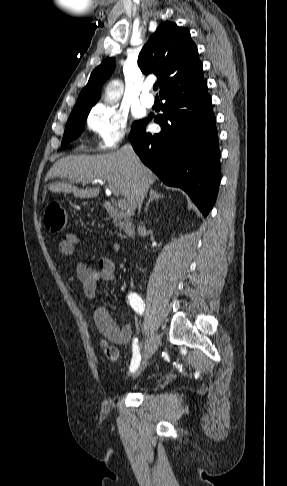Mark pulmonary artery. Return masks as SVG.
I'll return each instance as SVG.
<instances>
[{"mask_svg":"<svg viewBox=\"0 0 287 486\" xmlns=\"http://www.w3.org/2000/svg\"><path fill=\"white\" fill-rule=\"evenodd\" d=\"M151 84H144L142 87V93L140 95V101L145 107H152L154 104V97L150 93Z\"/></svg>","mask_w":287,"mask_h":486,"instance_id":"pulmonary-artery-1","label":"pulmonary artery"}]
</instances>
